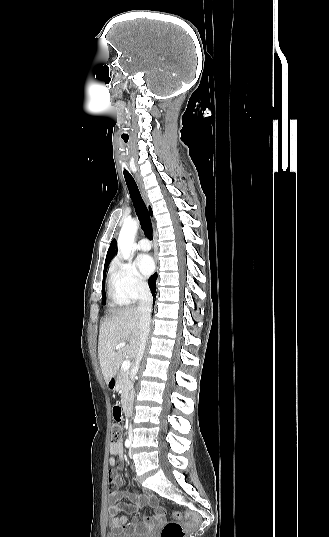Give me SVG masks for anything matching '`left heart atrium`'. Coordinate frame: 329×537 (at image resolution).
Segmentation results:
<instances>
[{"instance_id": "obj_1", "label": "left heart atrium", "mask_w": 329, "mask_h": 537, "mask_svg": "<svg viewBox=\"0 0 329 537\" xmlns=\"http://www.w3.org/2000/svg\"><path fill=\"white\" fill-rule=\"evenodd\" d=\"M137 265L143 276H149L154 270V261L150 255L142 254L137 258Z\"/></svg>"}]
</instances>
